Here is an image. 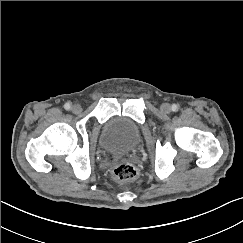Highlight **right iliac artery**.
<instances>
[{"label": "right iliac artery", "instance_id": "obj_1", "mask_svg": "<svg viewBox=\"0 0 243 243\" xmlns=\"http://www.w3.org/2000/svg\"><path fill=\"white\" fill-rule=\"evenodd\" d=\"M64 108H65L66 110H70V109H71V104H70V103H66V104L64 105Z\"/></svg>", "mask_w": 243, "mask_h": 243}]
</instances>
